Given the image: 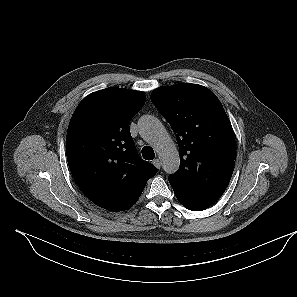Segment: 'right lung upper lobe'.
<instances>
[{
    "label": "right lung upper lobe",
    "instance_id": "right-lung-upper-lobe-1",
    "mask_svg": "<svg viewBox=\"0 0 297 297\" xmlns=\"http://www.w3.org/2000/svg\"><path fill=\"white\" fill-rule=\"evenodd\" d=\"M145 100L141 91L109 87L86 96L71 117L66 137L70 171L86 197L106 210L132 207L157 173L138 155L129 130Z\"/></svg>",
    "mask_w": 297,
    "mask_h": 297
}]
</instances>
